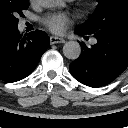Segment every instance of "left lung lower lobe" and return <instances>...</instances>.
<instances>
[{
    "mask_svg": "<svg viewBox=\"0 0 128 128\" xmlns=\"http://www.w3.org/2000/svg\"><path fill=\"white\" fill-rule=\"evenodd\" d=\"M76 34L93 35L97 43L88 48L83 42L79 58L73 61L69 70L79 82L90 87H101L115 80L128 66V32L106 35L88 34L81 29Z\"/></svg>",
    "mask_w": 128,
    "mask_h": 128,
    "instance_id": "obj_1",
    "label": "left lung lower lobe"
}]
</instances>
